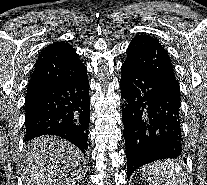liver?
<instances>
[{
	"mask_svg": "<svg viewBox=\"0 0 207 185\" xmlns=\"http://www.w3.org/2000/svg\"><path fill=\"white\" fill-rule=\"evenodd\" d=\"M83 153L69 141L43 135L25 147L23 185H76L86 169Z\"/></svg>",
	"mask_w": 207,
	"mask_h": 185,
	"instance_id": "1",
	"label": "liver"
}]
</instances>
